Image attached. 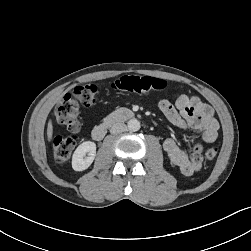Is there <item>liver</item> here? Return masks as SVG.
Masks as SVG:
<instances>
[{
    "instance_id": "1",
    "label": "liver",
    "mask_w": 251,
    "mask_h": 251,
    "mask_svg": "<svg viewBox=\"0 0 251 251\" xmlns=\"http://www.w3.org/2000/svg\"><path fill=\"white\" fill-rule=\"evenodd\" d=\"M53 135V125H52V121L49 120L48 125H47V139L50 142L51 138Z\"/></svg>"
}]
</instances>
